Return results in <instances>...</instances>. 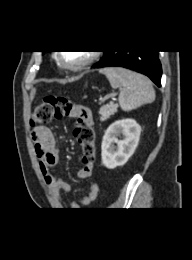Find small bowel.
Returning <instances> with one entry per match:
<instances>
[{"mask_svg":"<svg viewBox=\"0 0 192 260\" xmlns=\"http://www.w3.org/2000/svg\"><path fill=\"white\" fill-rule=\"evenodd\" d=\"M90 120L93 124L92 114L90 111ZM31 138L39 159V168L48 188L55 199L59 208H69L76 210L79 204L71 200L68 203L64 201L62 193H71V186L61 178L57 177L52 169L58 164L60 151L57 147L56 139L52 131L46 126H37L31 132ZM93 172V164L83 165L78 171V177L81 179L89 178ZM99 186L92 183L88 192L82 197L81 204L84 207L91 205L97 198Z\"/></svg>","mask_w":192,"mask_h":260,"instance_id":"small-bowel-1","label":"small bowel"}]
</instances>
